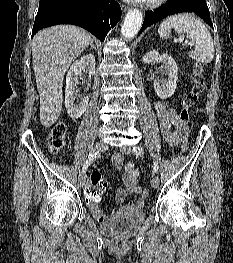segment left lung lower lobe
Listing matches in <instances>:
<instances>
[{"instance_id":"1","label":"left lung lower lobe","mask_w":233,"mask_h":263,"mask_svg":"<svg viewBox=\"0 0 233 263\" xmlns=\"http://www.w3.org/2000/svg\"><path fill=\"white\" fill-rule=\"evenodd\" d=\"M179 12H193L203 18L210 27H213L205 0H168L154 12H146L140 33L162 18Z\"/></svg>"}]
</instances>
